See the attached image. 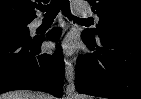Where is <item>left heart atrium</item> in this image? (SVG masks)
<instances>
[{"label":"left heart atrium","instance_id":"obj_1","mask_svg":"<svg viewBox=\"0 0 141 99\" xmlns=\"http://www.w3.org/2000/svg\"><path fill=\"white\" fill-rule=\"evenodd\" d=\"M52 51H58L64 54H71L75 48V40L72 36H66L50 44Z\"/></svg>","mask_w":141,"mask_h":99}]
</instances>
